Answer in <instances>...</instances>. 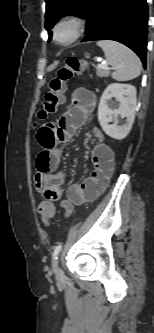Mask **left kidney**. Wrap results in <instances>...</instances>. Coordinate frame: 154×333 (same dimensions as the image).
I'll list each match as a JSON object with an SVG mask.
<instances>
[{"label": "left kidney", "mask_w": 154, "mask_h": 333, "mask_svg": "<svg viewBox=\"0 0 154 333\" xmlns=\"http://www.w3.org/2000/svg\"><path fill=\"white\" fill-rule=\"evenodd\" d=\"M115 98L118 107L111 103ZM136 88L130 84L112 83L104 90L98 107V120L103 131L111 138L122 140L130 132L136 111ZM126 118L125 122L119 121Z\"/></svg>", "instance_id": "left-kidney-1"}]
</instances>
